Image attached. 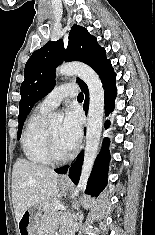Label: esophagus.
<instances>
[{"label": "esophagus", "instance_id": "esophagus-1", "mask_svg": "<svg viewBox=\"0 0 155 235\" xmlns=\"http://www.w3.org/2000/svg\"><path fill=\"white\" fill-rule=\"evenodd\" d=\"M61 181H64V182L69 181L68 174L63 175V176L61 177Z\"/></svg>", "mask_w": 155, "mask_h": 235}]
</instances>
